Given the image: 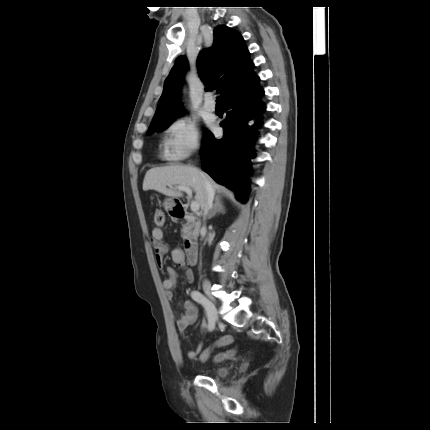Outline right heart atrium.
<instances>
[{"label": "right heart atrium", "mask_w": 430, "mask_h": 430, "mask_svg": "<svg viewBox=\"0 0 430 430\" xmlns=\"http://www.w3.org/2000/svg\"><path fill=\"white\" fill-rule=\"evenodd\" d=\"M199 147V131L196 123L189 117H179L165 129L162 152L167 159H184L197 151Z\"/></svg>", "instance_id": "1"}]
</instances>
